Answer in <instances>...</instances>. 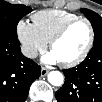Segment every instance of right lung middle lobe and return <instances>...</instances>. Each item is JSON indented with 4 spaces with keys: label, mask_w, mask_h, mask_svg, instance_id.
I'll use <instances>...</instances> for the list:
<instances>
[{
    "label": "right lung middle lobe",
    "mask_w": 102,
    "mask_h": 102,
    "mask_svg": "<svg viewBox=\"0 0 102 102\" xmlns=\"http://www.w3.org/2000/svg\"><path fill=\"white\" fill-rule=\"evenodd\" d=\"M32 11L31 7L0 1V37L17 38L19 20Z\"/></svg>",
    "instance_id": "1"
}]
</instances>
